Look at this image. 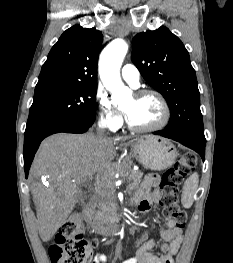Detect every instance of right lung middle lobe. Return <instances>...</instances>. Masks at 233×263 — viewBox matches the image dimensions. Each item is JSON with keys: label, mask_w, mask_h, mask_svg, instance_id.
I'll return each instance as SVG.
<instances>
[{"label": "right lung middle lobe", "mask_w": 233, "mask_h": 263, "mask_svg": "<svg viewBox=\"0 0 233 263\" xmlns=\"http://www.w3.org/2000/svg\"><path fill=\"white\" fill-rule=\"evenodd\" d=\"M97 85H81L34 95L25 133L44 125L94 115Z\"/></svg>", "instance_id": "obj_1"}]
</instances>
